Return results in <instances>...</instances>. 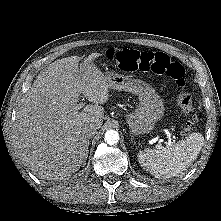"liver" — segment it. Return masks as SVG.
I'll use <instances>...</instances> for the list:
<instances>
[{"label": "liver", "instance_id": "obj_1", "mask_svg": "<svg viewBox=\"0 0 221 221\" xmlns=\"http://www.w3.org/2000/svg\"><path fill=\"white\" fill-rule=\"evenodd\" d=\"M90 54L54 61L43 69L24 95L17 114L12 147L39 179L63 180L77 172L88 156L90 123H103L102 104L109 99L106 77ZM83 95L93 104L74 110Z\"/></svg>", "mask_w": 221, "mask_h": 221}]
</instances>
